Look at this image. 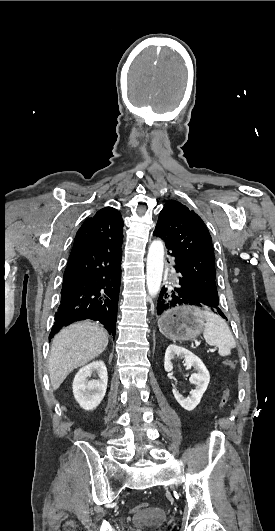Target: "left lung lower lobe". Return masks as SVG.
I'll use <instances>...</instances> for the list:
<instances>
[{"instance_id":"0a47b994","label":"left lung lower lobe","mask_w":275,"mask_h":531,"mask_svg":"<svg viewBox=\"0 0 275 531\" xmlns=\"http://www.w3.org/2000/svg\"><path fill=\"white\" fill-rule=\"evenodd\" d=\"M154 235L163 239L159 230L156 228L154 230ZM166 248L168 249V253L171 256L175 257L173 251L169 248L167 244H166ZM174 268L176 269V272L180 274L179 264L177 262L176 257H175ZM179 305H194V306H200V307L207 306V307H210L213 312L225 318V315L222 313V311L219 308L207 305L203 303L202 301H200L195 296H193L187 289L181 275L179 277L178 285L173 290H169L168 288H165V287L161 289V292L158 298V303H157V315H161L166 310L171 309L175 306H179Z\"/></svg>"}]
</instances>
